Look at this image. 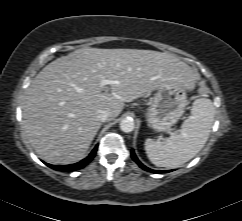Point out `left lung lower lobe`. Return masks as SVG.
I'll use <instances>...</instances> for the list:
<instances>
[{
    "label": "left lung lower lobe",
    "mask_w": 242,
    "mask_h": 221,
    "mask_svg": "<svg viewBox=\"0 0 242 221\" xmlns=\"http://www.w3.org/2000/svg\"><path fill=\"white\" fill-rule=\"evenodd\" d=\"M131 156L133 158V160L144 170L148 171V172H151V173H155V174H160L162 172L166 173V172H169V171H159V170H153V169H150L148 167H146L145 165H143L139 160L138 158L136 157L135 153H134V150L131 151Z\"/></svg>",
    "instance_id": "obj_1"
}]
</instances>
